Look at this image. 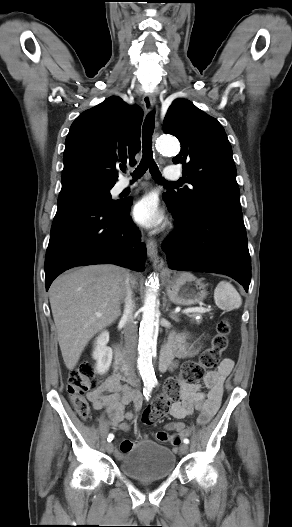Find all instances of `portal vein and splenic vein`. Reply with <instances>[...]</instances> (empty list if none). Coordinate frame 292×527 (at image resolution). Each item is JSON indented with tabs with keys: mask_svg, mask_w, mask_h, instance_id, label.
<instances>
[{
	"mask_svg": "<svg viewBox=\"0 0 292 527\" xmlns=\"http://www.w3.org/2000/svg\"><path fill=\"white\" fill-rule=\"evenodd\" d=\"M207 311L208 310L206 308H188V309H184L182 313L184 314H189V313H194V312L205 313ZM98 316H101V314H98Z\"/></svg>",
	"mask_w": 292,
	"mask_h": 527,
	"instance_id": "obj_1",
	"label": "portal vein and splenic vein"
}]
</instances>
